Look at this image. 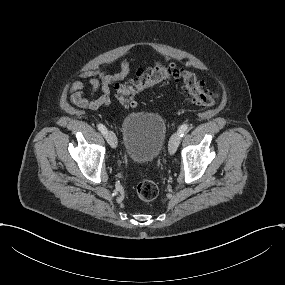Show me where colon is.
<instances>
[{"label": "colon", "mask_w": 285, "mask_h": 285, "mask_svg": "<svg viewBox=\"0 0 285 285\" xmlns=\"http://www.w3.org/2000/svg\"><path fill=\"white\" fill-rule=\"evenodd\" d=\"M172 81L181 82L189 100L201 107H211L217 101V94L203 88L202 82L188 70L173 65L155 66L141 69L134 78L120 82L116 86V98L126 107L136 105L138 96L157 85H165ZM138 197L143 201H151L158 195L157 185L148 179H142L137 187Z\"/></svg>", "instance_id": "obj_1"}]
</instances>
